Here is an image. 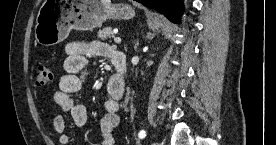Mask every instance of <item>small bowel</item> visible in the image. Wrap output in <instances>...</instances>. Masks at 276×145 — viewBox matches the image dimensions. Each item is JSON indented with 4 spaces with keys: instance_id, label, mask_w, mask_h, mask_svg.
<instances>
[{
    "instance_id": "c3829d8e",
    "label": "small bowel",
    "mask_w": 276,
    "mask_h": 145,
    "mask_svg": "<svg viewBox=\"0 0 276 145\" xmlns=\"http://www.w3.org/2000/svg\"><path fill=\"white\" fill-rule=\"evenodd\" d=\"M65 54L66 59L63 64L65 75L60 79L59 90L54 95V101L61 111L70 114L76 126L82 127L88 119L87 108L84 104L76 102L73 99V94L78 92L83 85L84 73L89 58L100 56L112 59L115 50L101 41H73L66 45ZM107 92L108 97L104 103L106 114L100 125V145H115L113 132L119 124L118 111L123 92L112 89L110 80L107 84ZM53 126L59 135V143L69 145L70 137L65 132L63 115L57 114L53 118Z\"/></svg>"
}]
</instances>
